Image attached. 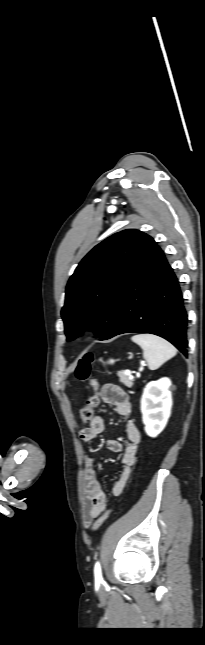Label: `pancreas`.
<instances>
[{"label": "pancreas", "mask_w": 205, "mask_h": 645, "mask_svg": "<svg viewBox=\"0 0 205 645\" xmlns=\"http://www.w3.org/2000/svg\"><path fill=\"white\" fill-rule=\"evenodd\" d=\"M118 376L120 378V382L127 387H131L133 385V378H131L129 375H126L124 371L118 372Z\"/></svg>", "instance_id": "1"}]
</instances>
